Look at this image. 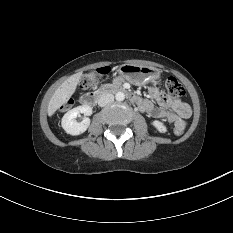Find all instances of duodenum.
Returning <instances> with one entry per match:
<instances>
[{"label":"duodenum","mask_w":233,"mask_h":233,"mask_svg":"<svg viewBox=\"0 0 233 233\" xmlns=\"http://www.w3.org/2000/svg\"><path fill=\"white\" fill-rule=\"evenodd\" d=\"M118 91H124V89L120 87L119 85L111 84L103 88L101 91L90 92V93L84 94L81 97L80 101L83 105L93 106L97 103V101L99 100L101 96L108 94V93H112V92H118ZM130 98L136 104L139 102V98L135 95H131Z\"/></svg>","instance_id":"duodenum-1"}]
</instances>
